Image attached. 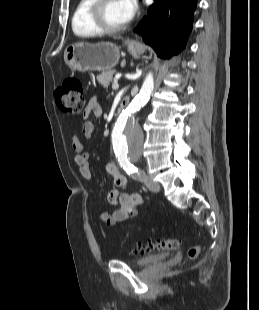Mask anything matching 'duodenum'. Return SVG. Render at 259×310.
<instances>
[{
	"label": "duodenum",
	"mask_w": 259,
	"mask_h": 310,
	"mask_svg": "<svg viewBox=\"0 0 259 310\" xmlns=\"http://www.w3.org/2000/svg\"><path fill=\"white\" fill-rule=\"evenodd\" d=\"M128 104H129V99L128 98L122 99V101H121V103H120V105L118 107V111H117L118 114H121L126 109Z\"/></svg>",
	"instance_id": "obj_1"
}]
</instances>
